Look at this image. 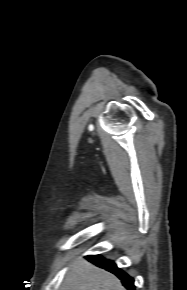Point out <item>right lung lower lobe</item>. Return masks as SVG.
<instances>
[{
    "instance_id": "right-lung-lower-lobe-1",
    "label": "right lung lower lobe",
    "mask_w": 187,
    "mask_h": 290,
    "mask_svg": "<svg viewBox=\"0 0 187 290\" xmlns=\"http://www.w3.org/2000/svg\"><path fill=\"white\" fill-rule=\"evenodd\" d=\"M90 261L94 264H96L99 267H102L115 275H117L123 285L128 289V290H135L134 286V280L132 277L128 276L125 272H123L121 269L117 268L116 264L112 261L106 260L100 255H94L90 257Z\"/></svg>"
}]
</instances>
